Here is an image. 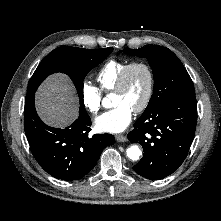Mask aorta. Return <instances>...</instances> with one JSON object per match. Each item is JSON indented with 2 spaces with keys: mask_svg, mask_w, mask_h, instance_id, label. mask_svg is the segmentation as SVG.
<instances>
[{
  "mask_svg": "<svg viewBox=\"0 0 221 221\" xmlns=\"http://www.w3.org/2000/svg\"><path fill=\"white\" fill-rule=\"evenodd\" d=\"M108 99L103 100V105L107 107ZM127 156L133 161H137L141 156V150L137 145H133L127 149Z\"/></svg>",
  "mask_w": 221,
  "mask_h": 221,
  "instance_id": "obj_1",
  "label": "aorta"
}]
</instances>
